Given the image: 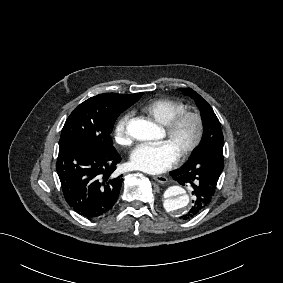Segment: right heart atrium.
Wrapping results in <instances>:
<instances>
[{"label":"right heart atrium","instance_id":"1","mask_svg":"<svg viewBox=\"0 0 283 283\" xmlns=\"http://www.w3.org/2000/svg\"><path fill=\"white\" fill-rule=\"evenodd\" d=\"M132 118V114L128 111L122 113L114 124L112 137L114 142L123 148H128L132 139L128 132V124Z\"/></svg>","mask_w":283,"mask_h":283}]
</instances>
